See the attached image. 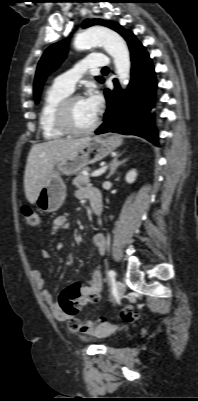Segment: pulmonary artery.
<instances>
[{
    "label": "pulmonary artery",
    "instance_id": "e3ab8cb5",
    "mask_svg": "<svg viewBox=\"0 0 198 401\" xmlns=\"http://www.w3.org/2000/svg\"><path fill=\"white\" fill-rule=\"evenodd\" d=\"M109 66V60L102 55H91L80 61L75 67L55 79V84L69 92L75 88L79 78L89 69Z\"/></svg>",
    "mask_w": 198,
    "mask_h": 401
}]
</instances>
